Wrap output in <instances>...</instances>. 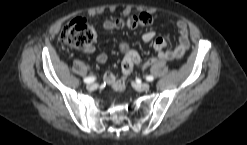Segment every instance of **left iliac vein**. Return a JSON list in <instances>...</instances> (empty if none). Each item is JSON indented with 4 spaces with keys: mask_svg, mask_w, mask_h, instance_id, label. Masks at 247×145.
Listing matches in <instances>:
<instances>
[{
    "mask_svg": "<svg viewBox=\"0 0 247 145\" xmlns=\"http://www.w3.org/2000/svg\"><path fill=\"white\" fill-rule=\"evenodd\" d=\"M135 88L139 91H147L150 88L149 83H137L135 84Z\"/></svg>",
    "mask_w": 247,
    "mask_h": 145,
    "instance_id": "1",
    "label": "left iliac vein"
}]
</instances>
